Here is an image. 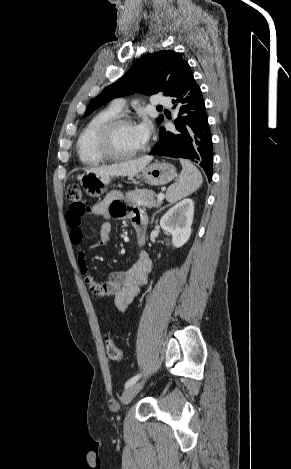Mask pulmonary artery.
Wrapping results in <instances>:
<instances>
[{"label":"pulmonary artery","instance_id":"e3ab8cb5","mask_svg":"<svg viewBox=\"0 0 291 469\" xmlns=\"http://www.w3.org/2000/svg\"><path fill=\"white\" fill-rule=\"evenodd\" d=\"M152 105L155 106H171V100L162 95H155L151 100ZM117 110L122 111L125 108V100L122 98H117L113 101L112 104Z\"/></svg>","mask_w":291,"mask_h":469}]
</instances>
